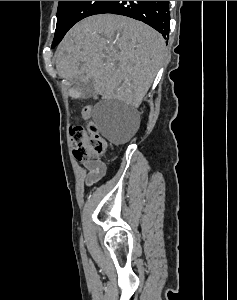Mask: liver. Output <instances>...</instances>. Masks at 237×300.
I'll use <instances>...</instances> for the list:
<instances>
[{
	"instance_id": "obj_1",
	"label": "liver",
	"mask_w": 237,
	"mask_h": 300,
	"mask_svg": "<svg viewBox=\"0 0 237 300\" xmlns=\"http://www.w3.org/2000/svg\"><path fill=\"white\" fill-rule=\"evenodd\" d=\"M157 31L121 15H93L74 25L56 51L60 77H95V93L139 107L165 57Z\"/></svg>"
}]
</instances>
